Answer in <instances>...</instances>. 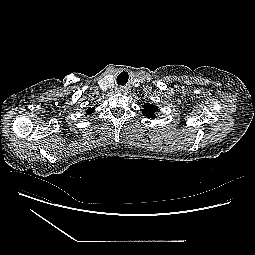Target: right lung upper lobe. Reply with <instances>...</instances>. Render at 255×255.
I'll use <instances>...</instances> for the list:
<instances>
[{
    "label": "right lung upper lobe",
    "instance_id": "cb5924a9",
    "mask_svg": "<svg viewBox=\"0 0 255 255\" xmlns=\"http://www.w3.org/2000/svg\"><path fill=\"white\" fill-rule=\"evenodd\" d=\"M93 112H94V108H89V109L87 110V113H88V114L93 113Z\"/></svg>",
    "mask_w": 255,
    "mask_h": 255
}]
</instances>
